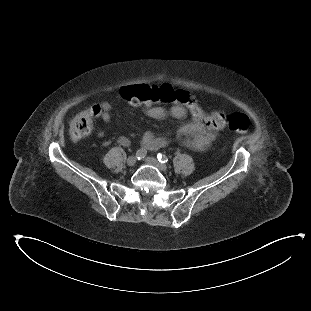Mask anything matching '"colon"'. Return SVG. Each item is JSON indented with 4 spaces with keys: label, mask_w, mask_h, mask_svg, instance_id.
Masks as SVG:
<instances>
[{
    "label": "colon",
    "mask_w": 311,
    "mask_h": 311,
    "mask_svg": "<svg viewBox=\"0 0 311 311\" xmlns=\"http://www.w3.org/2000/svg\"><path fill=\"white\" fill-rule=\"evenodd\" d=\"M122 96L125 99L138 100L140 102L164 103V104H183L187 110L194 115L200 122L207 127L220 130L223 126V115H206L198 102L189 93L183 90H177L173 87L160 88L153 84L136 86H125L122 89ZM140 102H133L136 105ZM102 109L100 106L92 105L82 110L70 124V136L74 141H79L87 137L93 129V120L98 117ZM229 129L237 132H244L249 127L250 120L242 112H231ZM217 123V124H216Z\"/></svg>",
    "instance_id": "5ec220e1"
}]
</instances>
